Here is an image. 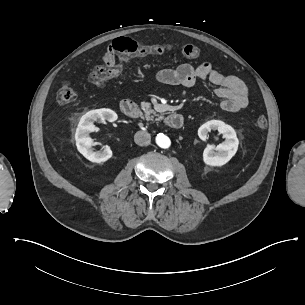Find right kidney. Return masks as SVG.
<instances>
[{"mask_svg": "<svg viewBox=\"0 0 305 305\" xmlns=\"http://www.w3.org/2000/svg\"><path fill=\"white\" fill-rule=\"evenodd\" d=\"M101 118V119H100ZM117 119V114L109 109L92 110L86 113L80 120L76 131V146L80 154L92 163H103L108 161L113 153L110 148L102 152H93L90 147L93 143L91 134L94 132L93 123L95 121L114 122Z\"/></svg>", "mask_w": 305, "mask_h": 305, "instance_id": "right-kidney-1", "label": "right kidney"}]
</instances>
